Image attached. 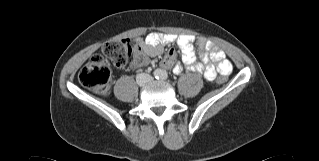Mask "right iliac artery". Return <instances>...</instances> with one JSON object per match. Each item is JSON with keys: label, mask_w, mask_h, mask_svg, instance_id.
Here are the masks:
<instances>
[{"label": "right iliac artery", "mask_w": 319, "mask_h": 161, "mask_svg": "<svg viewBox=\"0 0 319 161\" xmlns=\"http://www.w3.org/2000/svg\"><path fill=\"white\" fill-rule=\"evenodd\" d=\"M153 74H154V77H155L156 79H159V78H160V75H161V71H160V70H155Z\"/></svg>", "instance_id": "82829eb1"}]
</instances>
